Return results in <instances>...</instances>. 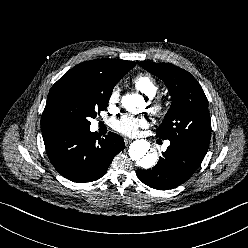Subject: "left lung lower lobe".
<instances>
[{"instance_id":"0a47b994","label":"left lung lower lobe","mask_w":248,"mask_h":248,"mask_svg":"<svg viewBox=\"0 0 248 248\" xmlns=\"http://www.w3.org/2000/svg\"><path fill=\"white\" fill-rule=\"evenodd\" d=\"M204 156L171 143L155 167L137 170L138 178L151 188L172 189L187 181L201 165Z\"/></svg>"}]
</instances>
